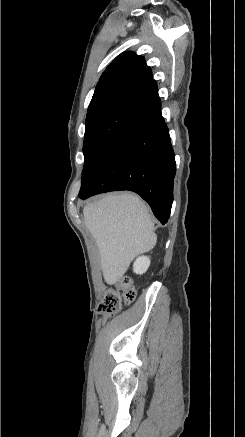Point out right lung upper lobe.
I'll use <instances>...</instances> for the list:
<instances>
[{
    "label": "right lung upper lobe",
    "instance_id": "cb5924a9",
    "mask_svg": "<svg viewBox=\"0 0 245 437\" xmlns=\"http://www.w3.org/2000/svg\"><path fill=\"white\" fill-rule=\"evenodd\" d=\"M109 103H124L142 111L161 104L157 83L142 56L122 53L103 72L88 111Z\"/></svg>",
    "mask_w": 245,
    "mask_h": 437
}]
</instances>
